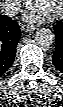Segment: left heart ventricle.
I'll use <instances>...</instances> for the list:
<instances>
[{
    "instance_id": "left-heart-ventricle-1",
    "label": "left heart ventricle",
    "mask_w": 63,
    "mask_h": 107,
    "mask_svg": "<svg viewBox=\"0 0 63 107\" xmlns=\"http://www.w3.org/2000/svg\"><path fill=\"white\" fill-rule=\"evenodd\" d=\"M33 3H36L35 5L44 9L46 12H48L49 14L55 12L60 5V0H54V1H50V0H36L33 1Z\"/></svg>"
}]
</instances>
